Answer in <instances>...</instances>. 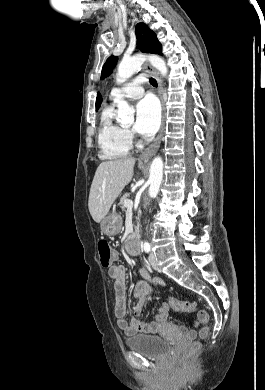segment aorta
I'll return each instance as SVG.
<instances>
[{"instance_id":"aorta-1","label":"aorta","mask_w":265,"mask_h":390,"mask_svg":"<svg viewBox=\"0 0 265 390\" xmlns=\"http://www.w3.org/2000/svg\"><path fill=\"white\" fill-rule=\"evenodd\" d=\"M148 60L153 67H155L162 76L168 72L165 61L158 55H135L129 59H124L118 66L117 81L125 82L135 72L141 69L143 63ZM118 107V121L122 124H131L134 121V109L124 100L117 101ZM163 177V160L161 157L153 159L150 167L149 176V196L156 197L162 182Z\"/></svg>"}]
</instances>
